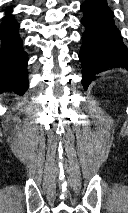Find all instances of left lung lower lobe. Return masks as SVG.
Wrapping results in <instances>:
<instances>
[{
    "label": "left lung lower lobe",
    "mask_w": 128,
    "mask_h": 213,
    "mask_svg": "<svg viewBox=\"0 0 128 213\" xmlns=\"http://www.w3.org/2000/svg\"><path fill=\"white\" fill-rule=\"evenodd\" d=\"M81 23L85 26L79 59L82 63V83L86 89L95 74L110 68L128 70V51L113 21V12L106 0H85Z\"/></svg>",
    "instance_id": "1"
}]
</instances>
